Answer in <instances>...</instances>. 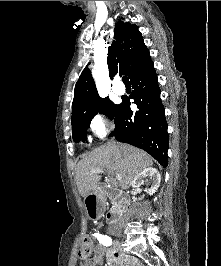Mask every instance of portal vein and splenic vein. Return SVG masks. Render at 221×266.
Here are the masks:
<instances>
[{
  "label": "portal vein and splenic vein",
  "instance_id": "obj_1",
  "mask_svg": "<svg viewBox=\"0 0 221 266\" xmlns=\"http://www.w3.org/2000/svg\"><path fill=\"white\" fill-rule=\"evenodd\" d=\"M103 172V169H101V168H96V169H93L92 171H91V173H102ZM116 178L118 179V180H120L122 177H121V175H119V174H116Z\"/></svg>",
  "mask_w": 221,
  "mask_h": 266
}]
</instances>
